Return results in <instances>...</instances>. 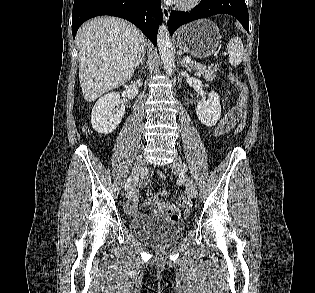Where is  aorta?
<instances>
[{
	"instance_id": "obj_1",
	"label": "aorta",
	"mask_w": 315,
	"mask_h": 293,
	"mask_svg": "<svg viewBox=\"0 0 315 293\" xmlns=\"http://www.w3.org/2000/svg\"><path fill=\"white\" fill-rule=\"evenodd\" d=\"M157 45L163 66L168 75L175 69L173 45L167 27L160 25L157 33Z\"/></svg>"
}]
</instances>
